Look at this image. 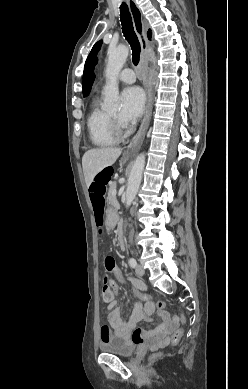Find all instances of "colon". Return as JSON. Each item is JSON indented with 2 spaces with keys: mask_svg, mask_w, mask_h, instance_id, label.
I'll use <instances>...</instances> for the list:
<instances>
[{
  "mask_svg": "<svg viewBox=\"0 0 248 389\" xmlns=\"http://www.w3.org/2000/svg\"><path fill=\"white\" fill-rule=\"evenodd\" d=\"M111 176H112V171L109 170L108 166H104L103 170H101L100 175L97 177V179L91 181L92 186L89 189V197H90L95 218H97L98 216H103L104 214L105 192L107 191V186L111 181ZM100 220H98L99 224H100ZM104 267L106 273L103 276L102 298L103 301L107 303L111 300L110 290L114 295L118 296L120 290L119 284H122L123 287L126 286L131 287L132 283L124 282L125 274L121 273L122 269L120 267H117L114 258L112 256L105 257ZM109 272L114 276L117 282L114 279H110L108 275ZM109 285H111V287H109ZM131 288L133 289L134 287L132 286ZM132 292L134 296L147 302L151 308H157L159 310H163L166 306L165 301H155L151 296L143 292H140L139 290L134 289ZM179 313H180V319L182 320L183 323V327L175 331L171 339L172 343H177L185 333V326L187 324V319L185 314L182 311H180Z\"/></svg>",
  "mask_w": 248,
  "mask_h": 389,
  "instance_id": "5ec220e1",
  "label": "colon"
}]
</instances>
